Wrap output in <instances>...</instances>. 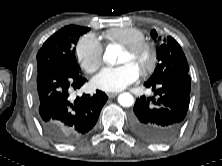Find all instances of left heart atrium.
<instances>
[{
  "instance_id": "obj_1",
  "label": "left heart atrium",
  "mask_w": 222,
  "mask_h": 166,
  "mask_svg": "<svg viewBox=\"0 0 222 166\" xmlns=\"http://www.w3.org/2000/svg\"><path fill=\"white\" fill-rule=\"evenodd\" d=\"M140 70L127 62L116 67H105L92 79L95 88L105 92H119L137 81Z\"/></svg>"
}]
</instances>
